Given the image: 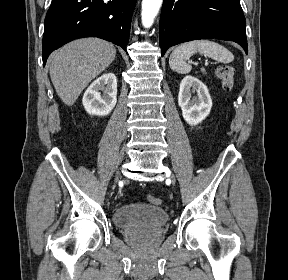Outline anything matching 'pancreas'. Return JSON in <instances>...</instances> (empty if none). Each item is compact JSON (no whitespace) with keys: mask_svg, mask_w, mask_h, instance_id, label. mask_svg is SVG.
Returning a JSON list of instances; mask_svg holds the SVG:
<instances>
[{"mask_svg":"<svg viewBox=\"0 0 288 280\" xmlns=\"http://www.w3.org/2000/svg\"><path fill=\"white\" fill-rule=\"evenodd\" d=\"M202 72H205V70H204V69H202Z\"/></svg>","mask_w":288,"mask_h":280,"instance_id":"pancreas-1","label":"pancreas"}]
</instances>
